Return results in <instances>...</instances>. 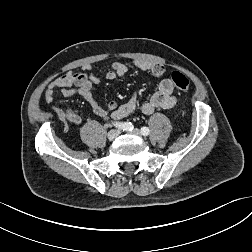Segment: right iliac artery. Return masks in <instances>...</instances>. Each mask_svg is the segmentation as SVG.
Listing matches in <instances>:
<instances>
[{"label":"right iliac artery","instance_id":"obj_1","mask_svg":"<svg viewBox=\"0 0 252 252\" xmlns=\"http://www.w3.org/2000/svg\"><path fill=\"white\" fill-rule=\"evenodd\" d=\"M116 128L121 129L123 131H131L133 129V125L130 122H116L113 123Z\"/></svg>","mask_w":252,"mask_h":252}]
</instances>
